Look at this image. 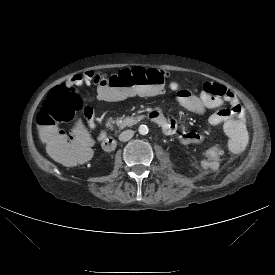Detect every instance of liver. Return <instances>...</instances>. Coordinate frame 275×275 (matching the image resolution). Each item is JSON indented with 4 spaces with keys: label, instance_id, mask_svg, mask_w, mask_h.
I'll use <instances>...</instances> for the list:
<instances>
[{
    "label": "liver",
    "instance_id": "obj_1",
    "mask_svg": "<svg viewBox=\"0 0 275 275\" xmlns=\"http://www.w3.org/2000/svg\"><path fill=\"white\" fill-rule=\"evenodd\" d=\"M39 131L41 132V128L39 127Z\"/></svg>",
    "mask_w": 275,
    "mask_h": 275
}]
</instances>
